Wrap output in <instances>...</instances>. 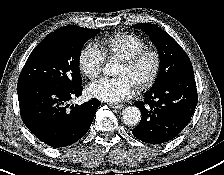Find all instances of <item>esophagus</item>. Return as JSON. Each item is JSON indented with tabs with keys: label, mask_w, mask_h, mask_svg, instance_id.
Listing matches in <instances>:
<instances>
[{
	"label": "esophagus",
	"mask_w": 224,
	"mask_h": 175,
	"mask_svg": "<svg viewBox=\"0 0 224 175\" xmlns=\"http://www.w3.org/2000/svg\"><path fill=\"white\" fill-rule=\"evenodd\" d=\"M109 106L114 109H122L124 107L123 104H117V103H115V104L110 103Z\"/></svg>",
	"instance_id": "obj_1"
}]
</instances>
